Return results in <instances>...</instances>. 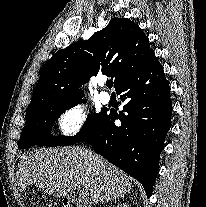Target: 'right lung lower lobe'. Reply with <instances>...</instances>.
I'll return each instance as SVG.
<instances>
[{
  "mask_svg": "<svg viewBox=\"0 0 206 207\" xmlns=\"http://www.w3.org/2000/svg\"><path fill=\"white\" fill-rule=\"evenodd\" d=\"M116 92L125 102L123 111L110 110L82 141L136 178L151 196L172 114L170 87L155 55Z\"/></svg>",
  "mask_w": 206,
  "mask_h": 207,
  "instance_id": "right-lung-lower-lobe-1",
  "label": "right lung lower lobe"
}]
</instances>
